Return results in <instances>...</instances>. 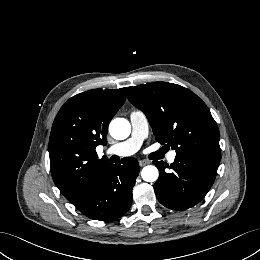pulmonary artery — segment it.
<instances>
[{
	"instance_id": "pulmonary-artery-1",
	"label": "pulmonary artery",
	"mask_w": 260,
	"mask_h": 260,
	"mask_svg": "<svg viewBox=\"0 0 260 260\" xmlns=\"http://www.w3.org/2000/svg\"><path fill=\"white\" fill-rule=\"evenodd\" d=\"M132 134L124 142L115 144L107 150L109 155L127 156L136 153L148 132V123L146 116L141 111H135L131 114ZM176 152L171 151L168 155V161L175 160Z\"/></svg>"
}]
</instances>
